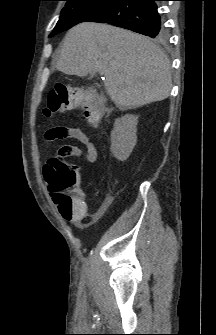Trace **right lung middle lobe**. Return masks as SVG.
I'll list each match as a JSON object with an SVG mask.
<instances>
[{
    "label": "right lung middle lobe",
    "instance_id": "obj_1",
    "mask_svg": "<svg viewBox=\"0 0 216 335\" xmlns=\"http://www.w3.org/2000/svg\"><path fill=\"white\" fill-rule=\"evenodd\" d=\"M66 5L61 11V15L54 30L49 35L52 37L61 33L72 26L88 21L94 15L108 7L116 0H65ZM166 38V32L157 36V41H162Z\"/></svg>",
    "mask_w": 216,
    "mask_h": 335
}]
</instances>
